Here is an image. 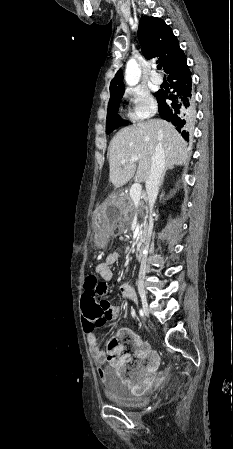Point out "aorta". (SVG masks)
Returning <instances> with one entry per match:
<instances>
[{
	"label": "aorta",
	"instance_id": "obj_1",
	"mask_svg": "<svg viewBox=\"0 0 233 449\" xmlns=\"http://www.w3.org/2000/svg\"><path fill=\"white\" fill-rule=\"evenodd\" d=\"M141 77V69L135 59H130L126 65L125 80L130 86L139 83Z\"/></svg>",
	"mask_w": 233,
	"mask_h": 449
}]
</instances>
